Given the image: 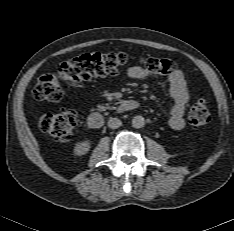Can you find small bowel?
<instances>
[{"label": "small bowel", "mask_w": 234, "mask_h": 231, "mask_svg": "<svg viewBox=\"0 0 234 231\" xmlns=\"http://www.w3.org/2000/svg\"><path fill=\"white\" fill-rule=\"evenodd\" d=\"M150 74L149 71L140 66H132L127 71V75L134 79L143 78ZM169 83V93L173 100L169 124L173 130H181L185 126L184 112L189 101V90L183 72L176 69L169 76Z\"/></svg>", "instance_id": "c3829d8e"}]
</instances>
